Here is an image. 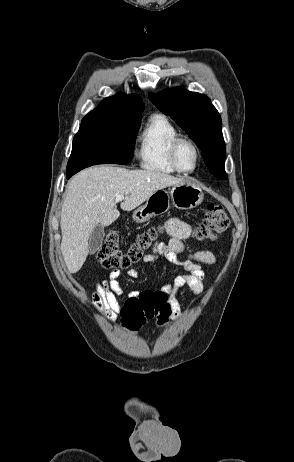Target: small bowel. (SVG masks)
Here are the masks:
<instances>
[{
  "label": "small bowel",
  "instance_id": "1",
  "mask_svg": "<svg viewBox=\"0 0 294 462\" xmlns=\"http://www.w3.org/2000/svg\"><path fill=\"white\" fill-rule=\"evenodd\" d=\"M164 228L170 236V240L168 242H157L152 253L145 255L143 260L146 263H152L164 257L170 262L179 265L183 270V274L176 276L160 289L167 296L170 304V318L177 320L182 314L177 299L178 291L183 287H187L193 294H201L205 280L201 265H212L215 262V255L208 250L186 252L185 240L191 235V226L189 224L172 218L164 223ZM182 254H186V257L182 258ZM119 275V270H112L106 279L96 283L91 294V301L95 308L112 322L119 319L123 307V304L118 300V297L124 294L119 282ZM127 275L131 278H137L139 271L130 269ZM136 294L137 292H133L131 296Z\"/></svg>",
  "mask_w": 294,
  "mask_h": 462
}]
</instances>
